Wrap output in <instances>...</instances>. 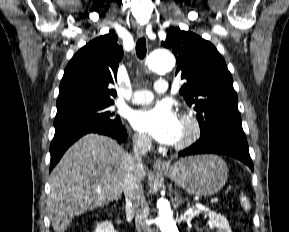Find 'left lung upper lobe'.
<instances>
[{"instance_id":"1","label":"left lung upper lobe","mask_w":289,"mask_h":232,"mask_svg":"<svg viewBox=\"0 0 289 232\" xmlns=\"http://www.w3.org/2000/svg\"><path fill=\"white\" fill-rule=\"evenodd\" d=\"M161 44L172 50L176 75L186 81L180 94L197 113L200 139L222 131H243L233 79L215 46L179 28L170 31Z\"/></svg>"}]
</instances>
